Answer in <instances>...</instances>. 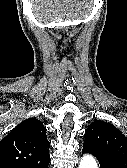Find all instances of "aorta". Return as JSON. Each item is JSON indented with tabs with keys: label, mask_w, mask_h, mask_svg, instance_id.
Listing matches in <instances>:
<instances>
[{
	"label": "aorta",
	"mask_w": 127,
	"mask_h": 168,
	"mask_svg": "<svg viewBox=\"0 0 127 168\" xmlns=\"http://www.w3.org/2000/svg\"><path fill=\"white\" fill-rule=\"evenodd\" d=\"M79 168H98V165L94 157L85 155L80 161Z\"/></svg>",
	"instance_id": "762f6f07"
}]
</instances>
